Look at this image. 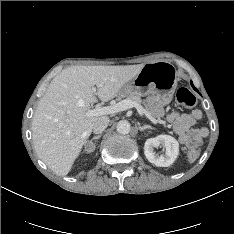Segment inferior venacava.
<instances>
[{"label":"inferior vena cava","instance_id":"inferior-vena-cava-1","mask_svg":"<svg viewBox=\"0 0 234 234\" xmlns=\"http://www.w3.org/2000/svg\"><path fill=\"white\" fill-rule=\"evenodd\" d=\"M109 117L107 116H101L98 118V120L94 123L92 129L95 134L102 133L109 124Z\"/></svg>","mask_w":234,"mask_h":234}]
</instances>
